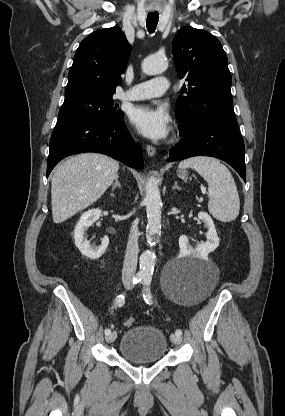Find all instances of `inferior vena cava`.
<instances>
[{
  "label": "inferior vena cava",
  "instance_id": "1",
  "mask_svg": "<svg viewBox=\"0 0 285 416\" xmlns=\"http://www.w3.org/2000/svg\"><path fill=\"white\" fill-rule=\"evenodd\" d=\"M138 222H133V226L130 230L125 260L123 264V274L126 276H133L136 272L137 260H138Z\"/></svg>",
  "mask_w": 285,
  "mask_h": 416
}]
</instances>
